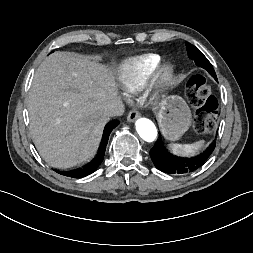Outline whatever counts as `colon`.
<instances>
[{
	"label": "colon",
	"instance_id": "colon-1",
	"mask_svg": "<svg viewBox=\"0 0 253 253\" xmlns=\"http://www.w3.org/2000/svg\"><path fill=\"white\" fill-rule=\"evenodd\" d=\"M188 98L198 107L197 122L202 132L211 133L218 118V101L212 95L211 87L202 75L191 77L187 84Z\"/></svg>",
	"mask_w": 253,
	"mask_h": 253
}]
</instances>
